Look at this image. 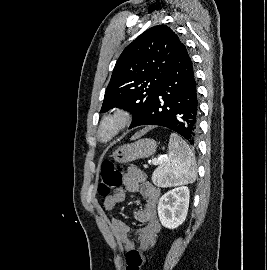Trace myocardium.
<instances>
[{"mask_svg":"<svg viewBox=\"0 0 267 270\" xmlns=\"http://www.w3.org/2000/svg\"><path fill=\"white\" fill-rule=\"evenodd\" d=\"M132 117L130 112L125 108H114L105 113L96 130V137L103 143H108L115 139L131 123ZM109 129L108 134H104L105 129Z\"/></svg>","mask_w":267,"mask_h":270,"instance_id":"1","label":"myocardium"}]
</instances>
